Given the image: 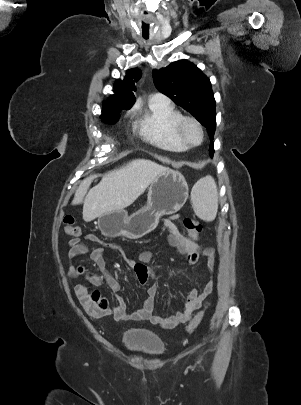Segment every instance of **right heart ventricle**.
I'll use <instances>...</instances> for the list:
<instances>
[{"label": "right heart ventricle", "instance_id": "right-heart-ventricle-1", "mask_svg": "<svg viewBox=\"0 0 301 405\" xmlns=\"http://www.w3.org/2000/svg\"><path fill=\"white\" fill-rule=\"evenodd\" d=\"M134 128L150 144L171 152H182L188 147L176 131L182 116L172 104L150 101L143 111L135 112Z\"/></svg>", "mask_w": 301, "mask_h": 405}]
</instances>
